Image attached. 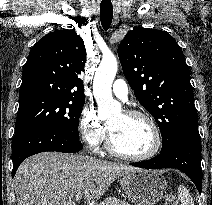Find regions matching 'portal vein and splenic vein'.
Returning <instances> with one entry per match:
<instances>
[{"label":"portal vein and splenic vein","mask_w":212,"mask_h":205,"mask_svg":"<svg viewBox=\"0 0 212 205\" xmlns=\"http://www.w3.org/2000/svg\"><path fill=\"white\" fill-rule=\"evenodd\" d=\"M80 198H81V193L76 194V196H75V200H76V201H79V200H80Z\"/></svg>","instance_id":"18ae733b"}]
</instances>
